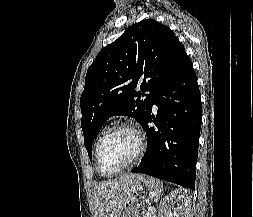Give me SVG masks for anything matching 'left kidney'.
Masks as SVG:
<instances>
[{
    "mask_svg": "<svg viewBox=\"0 0 253 217\" xmlns=\"http://www.w3.org/2000/svg\"><path fill=\"white\" fill-rule=\"evenodd\" d=\"M191 196L186 189H176L165 196L159 208L160 217H187ZM177 205L171 213L170 206Z\"/></svg>",
    "mask_w": 253,
    "mask_h": 217,
    "instance_id": "obj_1",
    "label": "left kidney"
}]
</instances>
